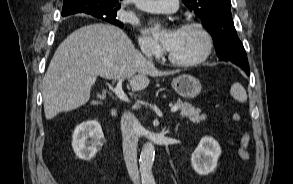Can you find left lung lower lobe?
<instances>
[{
  "label": "left lung lower lobe",
  "instance_id": "left-lung-lower-lobe-1",
  "mask_svg": "<svg viewBox=\"0 0 293 184\" xmlns=\"http://www.w3.org/2000/svg\"><path fill=\"white\" fill-rule=\"evenodd\" d=\"M224 51H233L235 53V58L220 57L223 60H228L234 64L240 66L249 75V64L246 56V52L240 40L232 42V44H225L221 48Z\"/></svg>",
  "mask_w": 293,
  "mask_h": 184
}]
</instances>
